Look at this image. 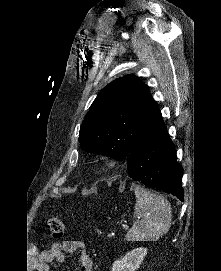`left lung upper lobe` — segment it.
Wrapping results in <instances>:
<instances>
[{"mask_svg": "<svg viewBox=\"0 0 221 271\" xmlns=\"http://www.w3.org/2000/svg\"><path fill=\"white\" fill-rule=\"evenodd\" d=\"M163 122L148 87L134 75L104 87L80 127L79 142L87 152L123 158Z\"/></svg>", "mask_w": 221, "mask_h": 271, "instance_id": "5c2ea615", "label": "left lung upper lobe"}]
</instances>
